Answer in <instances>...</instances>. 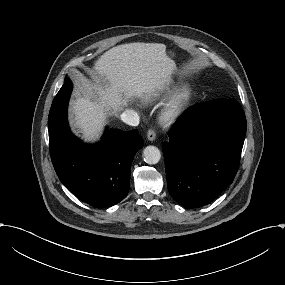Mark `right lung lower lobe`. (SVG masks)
Here are the masks:
<instances>
[{
	"label": "right lung lower lobe",
	"instance_id": "98d812e1",
	"mask_svg": "<svg viewBox=\"0 0 285 285\" xmlns=\"http://www.w3.org/2000/svg\"><path fill=\"white\" fill-rule=\"evenodd\" d=\"M67 77L54 98L49 117V148L61 182L81 201L98 207L120 202L130 187V169L143 147L137 130L109 129L95 145H86L70 131L67 107L72 91Z\"/></svg>",
	"mask_w": 285,
	"mask_h": 285
}]
</instances>
